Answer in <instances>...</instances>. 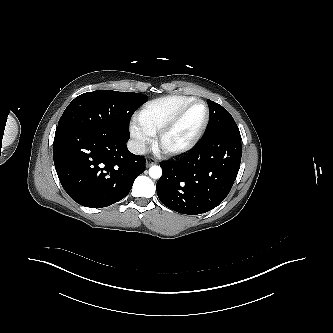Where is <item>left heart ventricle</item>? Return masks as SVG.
I'll return each mask as SVG.
<instances>
[{"label":"left heart ventricle","instance_id":"1","mask_svg":"<svg viewBox=\"0 0 333 333\" xmlns=\"http://www.w3.org/2000/svg\"><path fill=\"white\" fill-rule=\"evenodd\" d=\"M206 110L202 104H196L185 114L177 127L167 136V146H179L185 143L199 128L205 118Z\"/></svg>","mask_w":333,"mask_h":333}]
</instances>
